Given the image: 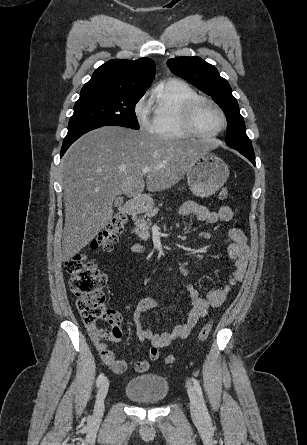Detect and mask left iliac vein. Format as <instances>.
Wrapping results in <instances>:
<instances>
[{
  "mask_svg": "<svg viewBox=\"0 0 307 445\" xmlns=\"http://www.w3.org/2000/svg\"><path fill=\"white\" fill-rule=\"evenodd\" d=\"M188 395H189V399H190L191 415L195 420L201 421L203 419V412H202L201 404H200L199 398L192 386H188Z\"/></svg>",
  "mask_w": 307,
  "mask_h": 445,
  "instance_id": "1",
  "label": "left iliac vein"
}]
</instances>
